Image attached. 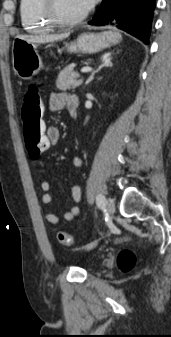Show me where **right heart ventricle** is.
Listing matches in <instances>:
<instances>
[{
    "instance_id": "obj_1",
    "label": "right heart ventricle",
    "mask_w": 171,
    "mask_h": 337,
    "mask_svg": "<svg viewBox=\"0 0 171 337\" xmlns=\"http://www.w3.org/2000/svg\"><path fill=\"white\" fill-rule=\"evenodd\" d=\"M20 18L27 31L49 30L53 24L46 18L42 0H20Z\"/></svg>"
}]
</instances>
